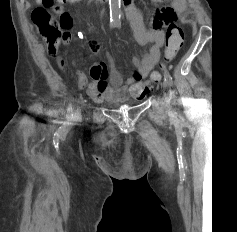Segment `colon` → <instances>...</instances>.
<instances>
[{"mask_svg":"<svg viewBox=\"0 0 237 232\" xmlns=\"http://www.w3.org/2000/svg\"><path fill=\"white\" fill-rule=\"evenodd\" d=\"M66 3V0H41V6L33 10L31 18L35 24L37 32L41 35L47 44L48 52L56 54L62 42L70 39V29L72 28V19L65 11L58 12L59 18L51 14L47 8L55 4ZM60 8L55 6V9ZM183 31L176 24H170L165 38V58L167 61L173 60L183 45ZM160 74L152 73L151 81L157 82Z\"/></svg>","mask_w":237,"mask_h":232,"instance_id":"colon-1","label":"colon"}]
</instances>
